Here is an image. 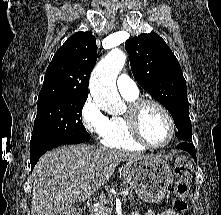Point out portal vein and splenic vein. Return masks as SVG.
<instances>
[{"mask_svg": "<svg viewBox=\"0 0 221 215\" xmlns=\"http://www.w3.org/2000/svg\"><path fill=\"white\" fill-rule=\"evenodd\" d=\"M124 194H125V193H124ZM125 199H126V197L123 196V197H122V200L125 201ZM92 208H93V210H94L95 212H97V213H99V214H101V215H105L106 212L109 210V208H106V207L100 206V205H94Z\"/></svg>", "mask_w": 221, "mask_h": 215, "instance_id": "portal-vein-and-splenic-vein-1", "label": "portal vein and splenic vein"}]
</instances>
